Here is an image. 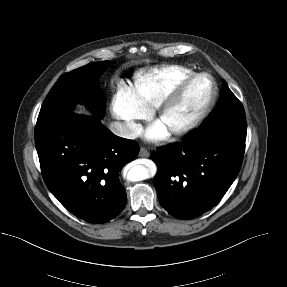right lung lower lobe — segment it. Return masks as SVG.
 <instances>
[{"label":"right lung lower lobe","instance_id":"right-lung-lower-lobe-1","mask_svg":"<svg viewBox=\"0 0 287 287\" xmlns=\"http://www.w3.org/2000/svg\"><path fill=\"white\" fill-rule=\"evenodd\" d=\"M100 116L70 112L35 127V144L50 192L75 216L94 224L115 218L126 205L119 181L138 144L105 128Z\"/></svg>","mask_w":287,"mask_h":287}]
</instances>
